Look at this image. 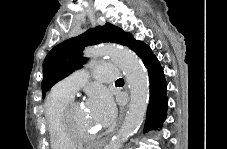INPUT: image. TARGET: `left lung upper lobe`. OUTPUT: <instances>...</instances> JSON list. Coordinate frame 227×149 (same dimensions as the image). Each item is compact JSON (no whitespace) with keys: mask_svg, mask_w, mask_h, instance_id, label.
Listing matches in <instances>:
<instances>
[{"mask_svg":"<svg viewBox=\"0 0 227 149\" xmlns=\"http://www.w3.org/2000/svg\"><path fill=\"white\" fill-rule=\"evenodd\" d=\"M131 34L110 23L89 29L83 34L70 38L55 46L46 56L43 63V80L41 87L45 95L54 84L79 69L87 60L81 56L85 46L102 42L127 45Z\"/></svg>","mask_w":227,"mask_h":149,"instance_id":"1","label":"left lung upper lobe"}]
</instances>
